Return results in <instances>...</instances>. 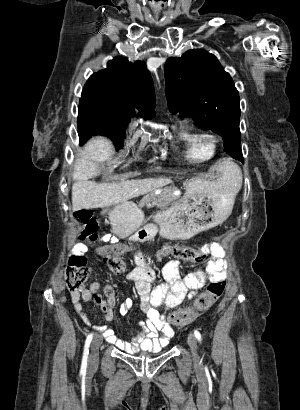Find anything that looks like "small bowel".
Segmentation results:
<instances>
[{"mask_svg": "<svg viewBox=\"0 0 300 410\" xmlns=\"http://www.w3.org/2000/svg\"><path fill=\"white\" fill-rule=\"evenodd\" d=\"M108 240V237L105 238ZM132 241H142L140 234L131 237ZM210 254V258L204 269H197L185 275L179 272V262L172 260L167 262L162 270L163 282L156 283L154 269L148 264L144 254L136 250L134 252L135 267L127 274V279L131 281L137 290L140 299V309L145 319L138 321L139 329L134 332L130 342L119 339L114 330L103 325L96 328L103 334L105 340L118 349L132 354L138 350L158 351L168 344L174 336V330L166 320L160 308L171 310L178 307L185 299L202 289L207 281L223 280L226 276L227 265L224 260L225 252L222 247L215 242L204 246ZM89 246L85 243H78L74 246L73 252L76 255L87 253ZM105 247L96 248V253L103 254ZM101 284L92 281L88 288L81 292H71V301L75 311L82 321L89 325L90 318L84 311L82 301L94 300L101 308L105 321H111L114 317L116 307V296L113 287L105 284L103 287L104 296L99 292ZM134 306V301L127 298L118 308L121 315H126Z\"/></svg>", "mask_w": 300, "mask_h": 410, "instance_id": "1", "label": "small bowel"}]
</instances>
